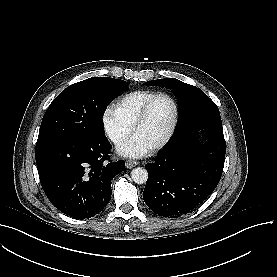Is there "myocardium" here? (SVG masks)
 <instances>
[{
  "mask_svg": "<svg viewBox=\"0 0 277 277\" xmlns=\"http://www.w3.org/2000/svg\"><path fill=\"white\" fill-rule=\"evenodd\" d=\"M157 99H165V100H167V101H169L171 103V105H172V116H171V120H170L168 129H167L165 135L163 136V138L161 140H159L158 142L153 143L152 145H149L151 150L158 149V148L162 147L163 145H165L169 141V139L171 138V136H172V134L174 132V129H175V126H176V123H177V116H178L177 106H176L175 102L173 101V99L170 96H168V95H166L164 93L156 94L145 105V107L143 108V110L138 115L137 119L135 120L133 128H132V134L133 135H137L138 129H139L140 125L143 123V121H144V119H145V117L147 115V112H148L150 106Z\"/></svg>",
  "mask_w": 277,
  "mask_h": 277,
  "instance_id": "obj_1",
  "label": "myocardium"
}]
</instances>
